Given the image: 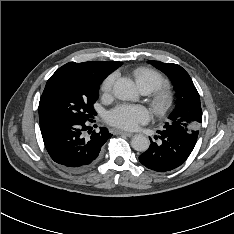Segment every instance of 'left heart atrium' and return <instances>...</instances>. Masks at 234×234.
I'll return each mask as SVG.
<instances>
[{
    "instance_id": "left-heart-atrium-1",
    "label": "left heart atrium",
    "mask_w": 234,
    "mask_h": 234,
    "mask_svg": "<svg viewBox=\"0 0 234 234\" xmlns=\"http://www.w3.org/2000/svg\"><path fill=\"white\" fill-rule=\"evenodd\" d=\"M111 125L124 130H134L149 120V112L142 106L120 105L106 115Z\"/></svg>"
}]
</instances>
